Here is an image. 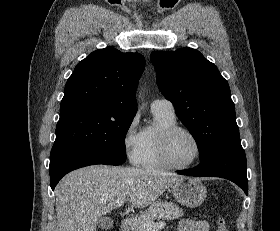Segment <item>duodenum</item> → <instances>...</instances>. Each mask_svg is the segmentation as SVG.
Segmentation results:
<instances>
[{
	"label": "duodenum",
	"mask_w": 280,
	"mask_h": 231,
	"mask_svg": "<svg viewBox=\"0 0 280 231\" xmlns=\"http://www.w3.org/2000/svg\"><path fill=\"white\" fill-rule=\"evenodd\" d=\"M132 225V219L130 217H125L120 222V231H130Z\"/></svg>",
	"instance_id": "obj_1"
}]
</instances>
